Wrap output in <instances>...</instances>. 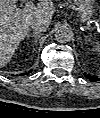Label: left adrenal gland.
Returning a JSON list of instances; mask_svg holds the SVG:
<instances>
[{"mask_svg": "<svg viewBox=\"0 0 100 118\" xmlns=\"http://www.w3.org/2000/svg\"><path fill=\"white\" fill-rule=\"evenodd\" d=\"M79 41L82 42V38L81 37H79Z\"/></svg>", "mask_w": 100, "mask_h": 118, "instance_id": "obj_1", "label": "left adrenal gland"}]
</instances>
